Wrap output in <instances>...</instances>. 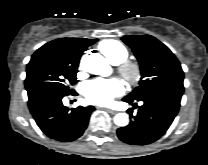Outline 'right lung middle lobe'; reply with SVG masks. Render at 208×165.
<instances>
[{"instance_id": "1", "label": "right lung middle lobe", "mask_w": 208, "mask_h": 165, "mask_svg": "<svg viewBox=\"0 0 208 165\" xmlns=\"http://www.w3.org/2000/svg\"><path fill=\"white\" fill-rule=\"evenodd\" d=\"M82 47H69L51 41L40 47L27 64L25 88L28 99L40 93L55 91L68 94L76 82Z\"/></svg>"}]
</instances>
